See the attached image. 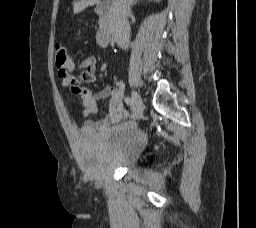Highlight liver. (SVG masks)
<instances>
[{
  "mask_svg": "<svg viewBox=\"0 0 256 228\" xmlns=\"http://www.w3.org/2000/svg\"><path fill=\"white\" fill-rule=\"evenodd\" d=\"M100 0H78L73 2V12L74 14H77L84 9H86L88 6H93L97 3H99Z\"/></svg>",
  "mask_w": 256,
  "mask_h": 228,
  "instance_id": "1",
  "label": "liver"
}]
</instances>
